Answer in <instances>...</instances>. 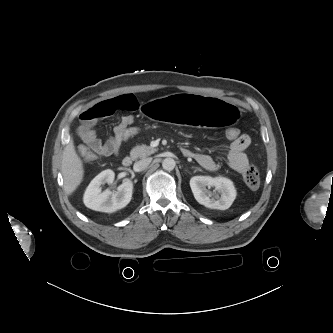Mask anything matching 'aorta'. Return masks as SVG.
Segmentation results:
<instances>
[{
    "label": "aorta",
    "mask_w": 333,
    "mask_h": 333,
    "mask_svg": "<svg viewBox=\"0 0 333 333\" xmlns=\"http://www.w3.org/2000/svg\"><path fill=\"white\" fill-rule=\"evenodd\" d=\"M162 167L166 171H172L175 168V161L172 158H165L162 161Z\"/></svg>",
    "instance_id": "762f6f07"
}]
</instances>
